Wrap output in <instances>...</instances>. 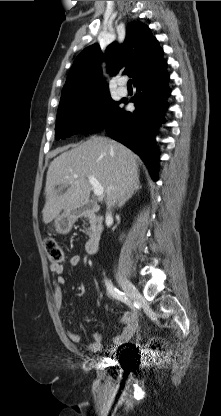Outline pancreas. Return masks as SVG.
Listing matches in <instances>:
<instances>
[{
	"label": "pancreas",
	"instance_id": "1",
	"mask_svg": "<svg viewBox=\"0 0 221 416\" xmlns=\"http://www.w3.org/2000/svg\"><path fill=\"white\" fill-rule=\"evenodd\" d=\"M87 217H88L89 222L91 224V228H89L88 230H91V229L101 230L102 229V220H103V218L101 216H96L94 213L89 212V213H87Z\"/></svg>",
	"mask_w": 221,
	"mask_h": 416
}]
</instances>
